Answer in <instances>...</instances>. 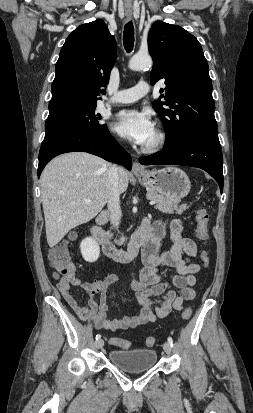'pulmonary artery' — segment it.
<instances>
[{"instance_id": "1", "label": "pulmonary artery", "mask_w": 253, "mask_h": 413, "mask_svg": "<svg viewBox=\"0 0 253 413\" xmlns=\"http://www.w3.org/2000/svg\"><path fill=\"white\" fill-rule=\"evenodd\" d=\"M150 92V86L147 82L140 81L134 87L119 90L114 96L109 100L110 104H127L132 103Z\"/></svg>"}]
</instances>
